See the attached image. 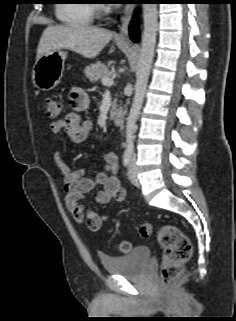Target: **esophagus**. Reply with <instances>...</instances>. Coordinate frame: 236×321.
I'll use <instances>...</instances> for the list:
<instances>
[{"mask_svg":"<svg viewBox=\"0 0 236 321\" xmlns=\"http://www.w3.org/2000/svg\"><path fill=\"white\" fill-rule=\"evenodd\" d=\"M136 6L133 4H128L123 12V16H122V23H121V27H120V31L119 33L116 35L117 39L120 40H124L127 39L128 37V26L129 23L131 21L133 12L135 10Z\"/></svg>","mask_w":236,"mask_h":321,"instance_id":"obj_1","label":"esophagus"}]
</instances>
